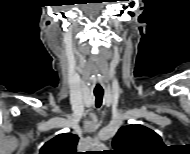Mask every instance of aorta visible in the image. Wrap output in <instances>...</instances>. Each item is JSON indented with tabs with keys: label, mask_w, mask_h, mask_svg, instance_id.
Segmentation results:
<instances>
[{
	"label": "aorta",
	"mask_w": 190,
	"mask_h": 154,
	"mask_svg": "<svg viewBox=\"0 0 190 154\" xmlns=\"http://www.w3.org/2000/svg\"><path fill=\"white\" fill-rule=\"evenodd\" d=\"M105 148V146H102V149H104Z\"/></svg>",
	"instance_id": "1"
}]
</instances>
